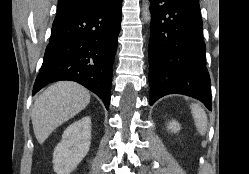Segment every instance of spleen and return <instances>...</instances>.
Wrapping results in <instances>:
<instances>
[{"label":"spleen","mask_w":249,"mask_h":174,"mask_svg":"<svg viewBox=\"0 0 249 174\" xmlns=\"http://www.w3.org/2000/svg\"><path fill=\"white\" fill-rule=\"evenodd\" d=\"M191 112L198 132L201 135H205L208 125V119L205 111L198 104H192Z\"/></svg>","instance_id":"spleen-1"}]
</instances>
